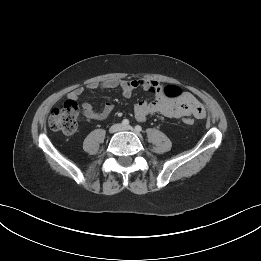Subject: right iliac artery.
I'll return each instance as SVG.
<instances>
[{"instance_id":"1","label":"right iliac artery","mask_w":261,"mask_h":261,"mask_svg":"<svg viewBox=\"0 0 261 261\" xmlns=\"http://www.w3.org/2000/svg\"><path fill=\"white\" fill-rule=\"evenodd\" d=\"M122 125H123V126H128V125H129V120H128V119H124V120L122 121Z\"/></svg>"}]
</instances>
